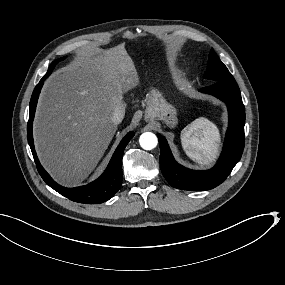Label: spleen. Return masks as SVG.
Listing matches in <instances>:
<instances>
[{"label":"spleen","mask_w":285,"mask_h":285,"mask_svg":"<svg viewBox=\"0 0 285 285\" xmlns=\"http://www.w3.org/2000/svg\"><path fill=\"white\" fill-rule=\"evenodd\" d=\"M219 142L218 128L204 117L195 119L181 132V143L186 155L203 165L216 158Z\"/></svg>","instance_id":"3e777b00"}]
</instances>
